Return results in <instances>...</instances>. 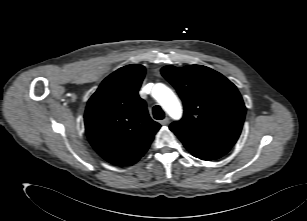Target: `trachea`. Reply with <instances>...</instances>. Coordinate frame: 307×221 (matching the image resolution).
Returning <instances> with one entry per match:
<instances>
[{"mask_svg": "<svg viewBox=\"0 0 307 221\" xmlns=\"http://www.w3.org/2000/svg\"><path fill=\"white\" fill-rule=\"evenodd\" d=\"M152 112L155 119L161 120L165 117V114L159 105L154 106Z\"/></svg>", "mask_w": 307, "mask_h": 221, "instance_id": "trachea-1", "label": "trachea"}]
</instances>
